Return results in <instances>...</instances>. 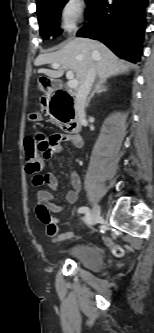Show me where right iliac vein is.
<instances>
[{
    "mask_svg": "<svg viewBox=\"0 0 154 333\" xmlns=\"http://www.w3.org/2000/svg\"><path fill=\"white\" fill-rule=\"evenodd\" d=\"M101 209L98 204L94 205L91 213V223L96 224L100 219Z\"/></svg>",
    "mask_w": 154,
    "mask_h": 333,
    "instance_id": "1",
    "label": "right iliac vein"
}]
</instances>
